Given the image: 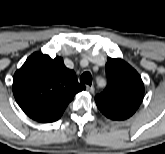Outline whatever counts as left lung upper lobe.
<instances>
[{
	"label": "left lung upper lobe",
	"instance_id": "left-lung-upper-lobe-1",
	"mask_svg": "<svg viewBox=\"0 0 165 154\" xmlns=\"http://www.w3.org/2000/svg\"><path fill=\"white\" fill-rule=\"evenodd\" d=\"M106 76V88L95 97L99 110L112 120L129 118L143 100L144 85L140 75L122 59L108 57Z\"/></svg>",
	"mask_w": 165,
	"mask_h": 154
}]
</instances>
